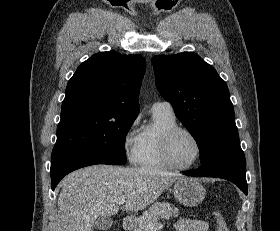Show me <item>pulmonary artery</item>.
I'll list each match as a JSON object with an SVG mask.
<instances>
[{
    "label": "pulmonary artery",
    "mask_w": 280,
    "mask_h": 231,
    "mask_svg": "<svg viewBox=\"0 0 280 231\" xmlns=\"http://www.w3.org/2000/svg\"><path fill=\"white\" fill-rule=\"evenodd\" d=\"M152 112H161L166 114H174L172 105L167 101H157L152 105Z\"/></svg>",
    "instance_id": "obj_1"
}]
</instances>
